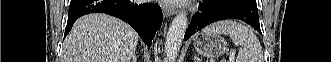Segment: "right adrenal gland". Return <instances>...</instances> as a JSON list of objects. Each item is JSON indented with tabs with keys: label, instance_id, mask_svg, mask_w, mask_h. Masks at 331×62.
I'll return each instance as SVG.
<instances>
[{
	"label": "right adrenal gland",
	"instance_id": "right-adrenal-gland-1",
	"mask_svg": "<svg viewBox=\"0 0 331 62\" xmlns=\"http://www.w3.org/2000/svg\"><path fill=\"white\" fill-rule=\"evenodd\" d=\"M131 62H137V56H136L135 52H134L133 55H132V60H131Z\"/></svg>",
	"mask_w": 331,
	"mask_h": 62
}]
</instances>
